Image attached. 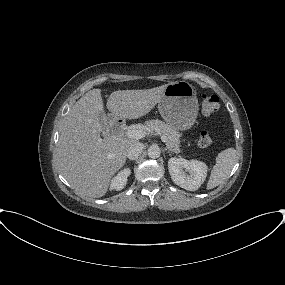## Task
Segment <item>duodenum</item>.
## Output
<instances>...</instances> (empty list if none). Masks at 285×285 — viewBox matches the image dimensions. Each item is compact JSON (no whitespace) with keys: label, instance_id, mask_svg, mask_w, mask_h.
I'll return each mask as SVG.
<instances>
[{"label":"duodenum","instance_id":"duodenum-1","mask_svg":"<svg viewBox=\"0 0 285 285\" xmlns=\"http://www.w3.org/2000/svg\"><path fill=\"white\" fill-rule=\"evenodd\" d=\"M125 124L122 120H114L110 125V132L112 135L118 136L124 132Z\"/></svg>","mask_w":285,"mask_h":285}]
</instances>
